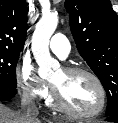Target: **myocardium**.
Segmentation results:
<instances>
[{
  "mask_svg": "<svg viewBox=\"0 0 118 123\" xmlns=\"http://www.w3.org/2000/svg\"><path fill=\"white\" fill-rule=\"evenodd\" d=\"M63 71L68 73V74H85L89 76L92 81L94 82L95 86L98 89L99 92V104L95 110L92 112H87V113H81L77 112L70 107H68L62 100L58 90L51 84V93H52V98L55 106L61 110L63 113L76 118V119H91L99 116L105 109L106 107V102H107V94H106V89L100 80V78L90 69L85 68V67H78V66H66L63 68Z\"/></svg>",
  "mask_w": 118,
  "mask_h": 123,
  "instance_id": "1",
  "label": "myocardium"
}]
</instances>
